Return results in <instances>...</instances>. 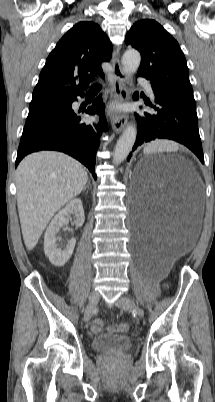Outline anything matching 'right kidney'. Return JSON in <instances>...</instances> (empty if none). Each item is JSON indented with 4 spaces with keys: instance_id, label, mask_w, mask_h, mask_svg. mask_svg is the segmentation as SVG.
Returning a JSON list of instances; mask_svg holds the SVG:
<instances>
[{
    "instance_id": "obj_1",
    "label": "right kidney",
    "mask_w": 215,
    "mask_h": 402,
    "mask_svg": "<svg viewBox=\"0 0 215 402\" xmlns=\"http://www.w3.org/2000/svg\"><path fill=\"white\" fill-rule=\"evenodd\" d=\"M74 216V222L77 226H82L85 220L84 210L80 199L71 200L65 208L60 210L50 222L45 232L44 251L50 262L58 267L64 266L70 259L76 240L71 238L64 249L58 248L57 242L60 237L57 236L60 229L65 227L69 218Z\"/></svg>"
}]
</instances>
